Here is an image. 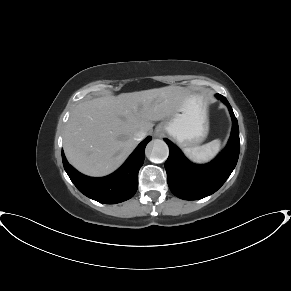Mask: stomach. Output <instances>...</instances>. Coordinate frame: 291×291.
<instances>
[{
	"label": "stomach",
	"instance_id": "obj_1",
	"mask_svg": "<svg viewBox=\"0 0 291 291\" xmlns=\"http://www.w3.org/2000/svg\"><path fill=\"white\" fill-rule=\"evenodd\" d=\"M173 137L182 147L202 143L209 133L207 102L203 94L183 92L173 114L158 126Z\"/></svg>",
	"mask_w": 291,
	"mask_h": 291
}]
</instances>
